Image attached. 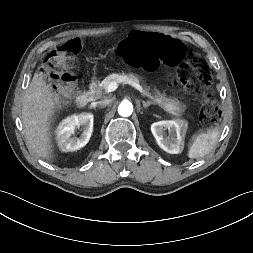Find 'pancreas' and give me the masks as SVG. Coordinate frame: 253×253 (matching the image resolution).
<instances>
[{
  "instance_id": "1",
  "label": "pancreas",
  "mask_w": 253,
  "mask_h": 253,
  "mask_svg": "<svg viewBox=\"0 0 253 253\" xmlns=\"http://www.w3.org/2000/svg\"><path fill=\"white\" fill-rule=\"evenodd\" d=\"M133 81L135 83L139 84V79L137 76L133 74H110L107 76L99 85L98 87V93H108V85L111 82H116L117 84L123 83L125 81ZM145 96L151 98L154 103L158 104L161 106L164 110L167 112H172V113H177V114H182L185 111V108L179 104L178 101H175L173 99L167 98L165 95H162L158 92H156L154 95H152L149 92V88H144V93Z\"/></svg>"
}]
</instances>
